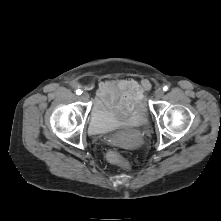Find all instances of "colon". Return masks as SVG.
I'll return each mask as SVG.
<instances>
[{
	"mask_svg": "<svg viewBox=\"0 0 221 221\" xmlns=\"http://www.w3.org/2000/svg\"><path fill=\"white\" fill-rule=\"evenodd\" d=\"M107 158L110 162L120 165L125 170L130 169V165L127 160H125L121 154L116 150H111L107 154Z\"/></svg>",
	"mask_w": 221,
	"mask_h": 221,
	"instance_id": "5ec220e1",
	"label": "colon"
}]
</instances>
